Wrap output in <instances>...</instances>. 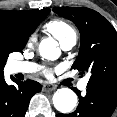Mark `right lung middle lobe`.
Listing matches in <instances>:
<instances>
[{
  "mask_svg": "<svg viewBox=\"0 0 117 117\" xmlns=\"http://www.w3.org/2000/svg\"><path fill=\"white\" fill-rule=\"evenodd\" d=\"M25 47L13 28L0 26V60L5 62L12 52H20Z\"/></svg>",
  "mask_w": 117,
  "mask_h": 117,
  "instance_id": "dd1d6c3e",
  "label": "right lung middle lobe"
}]
</instances>
